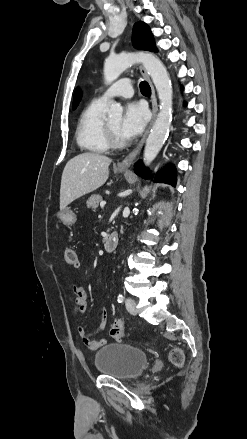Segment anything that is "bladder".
<instances>
[{"instance_id": "bladder-1", "label": "bladder", "mask_w": 247, "mask_h": 439, "mask_svg": "<svg viewBox=\"0 0 247 439\" xmlns=\"http://www.w3.org/2000/svg\"><path fill=\"white\" fill-rule=\"evenodd\" d=\"M94 364L101 374L127 380L143 372L148 364V356L142 349L132 345L109 344L95 354Z\"/></svg>"}]
</instances>
